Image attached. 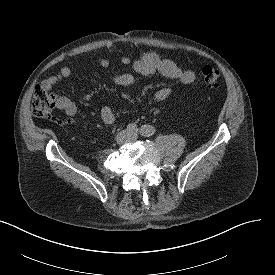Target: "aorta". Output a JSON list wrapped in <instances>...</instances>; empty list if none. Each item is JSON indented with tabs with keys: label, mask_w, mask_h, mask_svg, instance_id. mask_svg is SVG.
I'll use <instances>...</instances> for the list:
<instances>
[{
	"label": "aorta",
	"mask_w": 275,
	"mask_h": 275,
	"mask_svg": "<svg viewBox=\"0 0 275 275\" xmlns=\"http://www.w3.org/2000/svg\"><path fill=\"white\" fill-rule=\"evenodd\" d=\"M152 131V129L150 127H148L145 131V134H149Z\"/></svg>",
	"instance_id": "762f6f07"
}]
</instances>
